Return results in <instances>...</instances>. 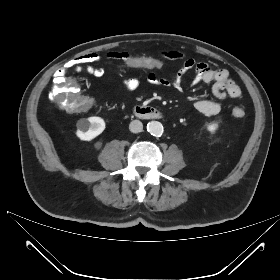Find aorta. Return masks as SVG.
Instances as JSON below:
<instances>
[{"label":"aorta","mask_w":280,"mask_h":280,"mask_svg":"<svg viewBox=\"0 0 280 280\" xmlns=\"http://www.w3.org/2000/svg\"><path fill=\"white\" fill-rule=\"evenodd\" d=\"M147 131L156 137H160L163 134V126L158 121H151L147 124Z\"/></svg>","instance_id":"1"}]
</instances>
